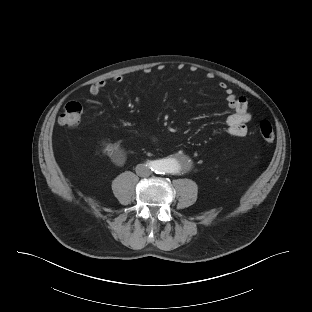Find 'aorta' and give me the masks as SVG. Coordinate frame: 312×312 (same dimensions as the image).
Masks as SVG:
<instances>
[{"mask_svg":"<svg viewBox=\"0 0 312 312\" xmlns=\"http://www.w3.org/2000/svg\"><path fill=\"white\" fill-rule=\"evenodd\" d=\"M183 162L181 159L177 158H166L160 163L159 170L163 173L174 174L180 170Z\"/></svg>","mask_w":312,"mask_h":312,"instance_id":"obj_1","label":"aorta"}]
</instances>
